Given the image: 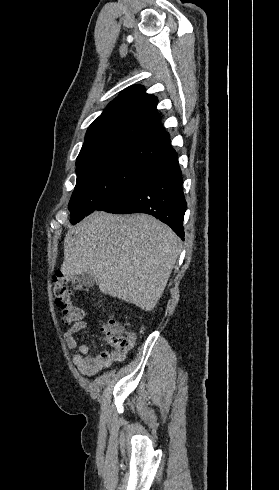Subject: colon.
<instances>
[{
  "mask_svg": "<svg viewBox=\"0 0 279 490\" xmlns=\"http://www.w3.org/2000/svg\"><path fill=\"white\" fill-rule=\"evenodd\" d=\"M71 285L78 289L84 287L81 281L65 274L55 275L51 283L53 297L62 308L61 320L67 325L81 321L85 316V311L77 306L72 298ZM103 337L108 338L112 349L116 350L118 354H124L133 348L137 332L110 323L109 329L103 330Z\"/></svg>",
  "mask_w": 279,
  "mask_h": 490,
  "instance_id": "1",
  "label": "colon"
}]
</instances>
